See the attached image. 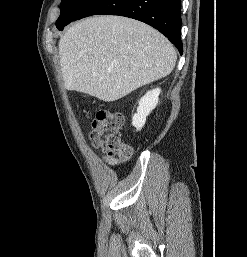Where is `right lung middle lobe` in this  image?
Wrapping results in <instances>:
<instances>
[{
  "instance_id": "1",
  "label": "right lung middle lobe",
  "mask_w": 247,
  "mask_h": 257,
  "mask_svg": "<svg viewBox=\"0 0 247 257\" xmlns=\"http://www.w3.org/2000/svg\"><path fill=\"white\" fill-rule=\"evenodd\" d=\"M92 0H62L61 14L56 21V27L60 28L73 21Z\"/></svg>"
}]
</instances>
